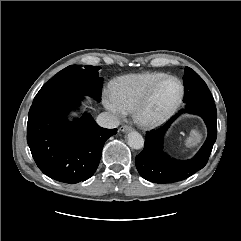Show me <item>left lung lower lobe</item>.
<instances>
[{
  "mask_svg": "<svg viewBox=\"0 0 241 241\" xmlns=\"http://www.w3.org/2000/svg\"><path fill=\"white\" fill-rule=\"evenodd\" d=\"M184 112L201 116L206 123L208 136L201 149L192 159L180 161L163 152L162 144L166 130ZM216 137L217 111L214 102H199L187 105L165 125L147 133L144 149L136 156V168L139 174L150 182L162 184L184 180L206 165Z\"/></svg>",
  "mask_w": 241,
  "mask_h": 241,
  "instance_id": "left-lung-lower-lobe-1",
  "label": "left lung lower lobe"
}]
</instances>
